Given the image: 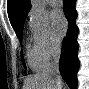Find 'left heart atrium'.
<instances>
[{
    "mask_svg": "<svg viewBox=\"0 0 89 89\" xmlns=\"http://www.w3.org/2000/svg\"><path fill=\"white\" fill-rule=\"evenodd\" d=\"M51 21L56 35L60 38L67 28L63 12L60 9H54L51 13Z\"/></svg>",
    "mask_w": 89,
    "mask_h": 89,
    "instance_id": "left-heart-atrium-1",
    "label": "left heart atrium"
}]
</instances>
